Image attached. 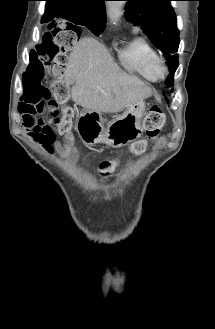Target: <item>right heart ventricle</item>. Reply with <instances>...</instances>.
I'll list each match as a JSON object with an SVG mask.
<instances>
[{"mask_svg":"<svg viewBox=\"0 0 215 329\" xmlns=\"http://www.w3.org/2000/svg\"><path fill=\"white\" fill-rule=\"evenodd\" d=\"M118 59L125 70L148 81L162 77L160 54L146 37L136 35L119 50Z\"/></svg>","mask_w":215,"mask_h":329,"instance_id":"obj_1","label":"right heart ventricle"}]
</instances>
